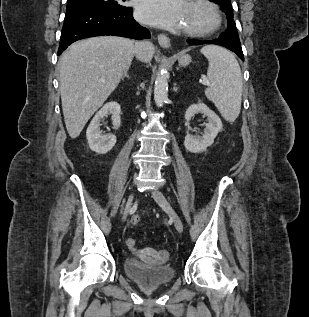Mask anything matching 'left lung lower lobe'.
Masks as SVG:
<instances>
[{
  "instance_id": "0a47b994",
  "label": "left lung lower lobe",
  "mask_w": 309,
  "mask_h": 317,
  "mask_svg": "<svg viewBox=\"0 0 309 317\" xmlns=\"http://www.w3.org/2000/svg\"><path fill=\"white\" fill-rule=\"evenodd\" d=\"M187 43L189 45L217 44L235 52L239 58L244 61L240 40H236L228 36L221 35L219 38L209 41L187 39Z\"/></svg>"
}]
</instances>
